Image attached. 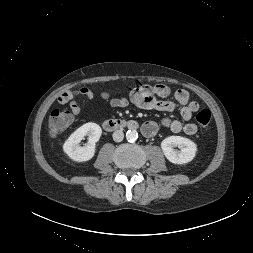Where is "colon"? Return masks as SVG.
I'll use <instances>...</instances> for the list:
<instances>
[{"mask_svg": "<svg viewBox=\"0 0 253 253\" xmlns=\"http://www.w3.org/2000/svg\"><path fill=\"white\" fill-rule=\"evenodd\" d=\"M108 93L103 94L104 97H108ZM197 122L202 126L206 127L211 121V112L208 109H202L196 115ZM72 122V115L69 111L54 110L51 113L50 118V133L56 136L66 130Z\"/></svg>", "mask_w": 253, "mask_h": 253, "instance_id": "obj_1", "label": "colon"}]
</instances>
